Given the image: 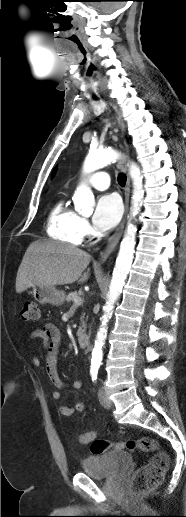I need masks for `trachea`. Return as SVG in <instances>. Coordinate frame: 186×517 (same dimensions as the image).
I'll return each instance as SVG.
<instances>
[{
  "mask_svg": "<svg viewBox=\"0 0 186 517\" xmlns=\"http://www.w3.org/2000/svg\"><path fill=\"white\" fill-rule=\"evenodd\" d=\"M118 183L120 186H125L126 183V176L124 174L118 175Z\"/></svg>",
  "mask_w": 186,
  "mask_h": 517,
  "instance_id": "1",
  "label": "trachea"
}]
</instances>
